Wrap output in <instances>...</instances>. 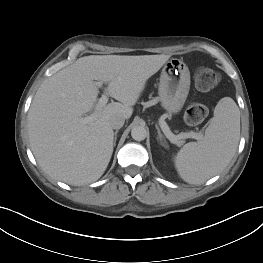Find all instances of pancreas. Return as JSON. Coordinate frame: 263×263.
I'll return each mask as SVG.
<instances>
[{
  "label": "pancreas",
  "mask_w": 263,
  "mask_h": 263,
  "mask_svg": "<svg viewBox=\"0 0 263 263\" xmlns=\"http://www.w3.org/2000/svg\"><path fill=\"white\" fill-rule=\"evenodd\" d=\"M184 133H181L180 135L182 136L180 139H178V141L176 142L177 145H182L184 143Z\"/></svg>",
  "instance_id": "cf45deb5"
}]
</instances>
